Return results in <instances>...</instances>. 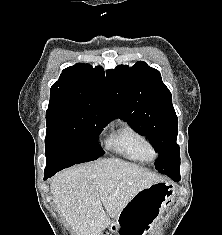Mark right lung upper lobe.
Segmentation results:
<instances>
[{
	"label": "right lung upper lobe",
	"mask_w": 222,
	"mask_h": 235,
	"mask_svg": "<svg viewBox=\"0 0 222 235\" xmlns=\"http://www.w3.org/2000/svg\"><path fill=\"white\" fill-rule=\"evenodd\" d=\"M87 112L117 118L118 112L101 66L77 63L64 69L50 91L47 114Z\"/></svg>",
	"instance_id": "right-lung-upper-lobe-1"
}]
</instances>
